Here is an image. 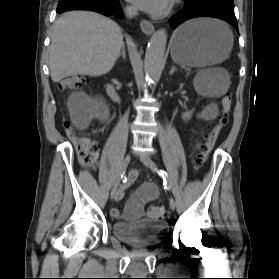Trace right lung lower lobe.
I'll return each mask as SVG.
<instances>
[{
    "mask_svg": "<svg viewBox=\"0 0 279 279\" xmlns=\"http://www.w3.org/2000/svg\"><path fill=\"white\" fill-rule=\"evenodd\" d=\"M69 10H91L105 16H118L121 7L118 0H59L57 13Z\"/></svg>",
    "mask_w": 279,
    "mask_h": 279,
    "instance_id": "obj_1",
    "label": "right lung lower lobe"
}]
</instances>
